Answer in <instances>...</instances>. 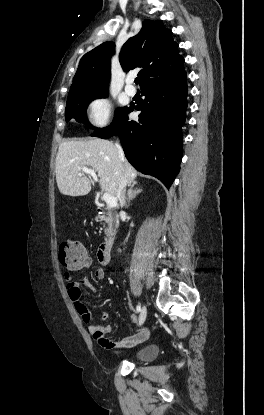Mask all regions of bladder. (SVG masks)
Returning a JSON list of instances; mask_svg holds the SVG:
<instances>
[{"label": "bladder", "instance_id": "1", "mask_svg": "<svg viewBox=\"0 0 264 415\" xmlns=\"http://www.w3.org/2000/svg\"><path fill=\"white\" fill-rule=\"evenodd\" d=\"M159 354V347L155 344L145 346L138 350L135 354V359L138 361H150Z\"/></svg>", "mask_w": 264, "mask_h": 415}]
</instances>
